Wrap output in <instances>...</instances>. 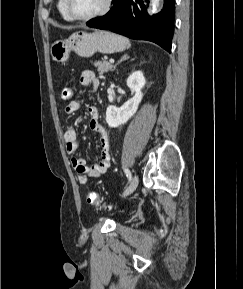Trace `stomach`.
<instances>
[{
	"label": "stomach",
	"instance_id": "1",
	"mask_svg": "<svg viewBox=\"0 0 243 289\" xmlns=\"http://www.w3.org/2000/svg\"><path fill=\"white\" fill-rule=\"evenodd\" d=\"M130 46L126 37L109 32L94 31L87 33L77 31L66 40L55 41L50 48L54 61L64 63L68 60L71 51L81 57H90L96 52L111 54L121 52Z\"/></svg>",
	"mask_w": 243,
	"mask_h": 289
}]
</instances>
